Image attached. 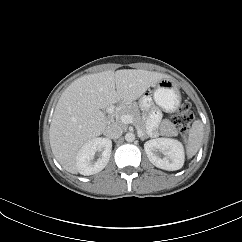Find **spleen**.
<instances>
[{
  "label": "spleen",
  "instance_id": "1",
  "mask_svg": "<svg viewBox=\"0 0 242 242\" xmlns=\"http://www.w3.org/2000/svg\"><path fill=\"white\" fill-rule=\"evenodd\" d=\"M204 128L200 120H196L189 131L188 139L185 141L187 146V155L189 158L194 156L201 146Z\"/></svg>",
  "mask_w": 242,
  "mask_h": 242
}]
</instances>
